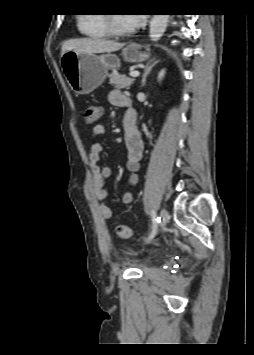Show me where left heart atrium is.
<instances>
[{
	"mask_svg": "<svg viewBox=\"0 0 254 355\" xmlns=\"http://www.w3.org/2000/svg\"><path fill=\"white\" fill-rule=\"evenodd\" d=\"M125 16L128 18L132 27H139L143 25L147 18V14L145 13H130Z\"/></svg>",
	"mask_w": 254,
	"mask_h": 355,
	"instance_id": "left-heart-atrium-1",
	"label": "left heart atrium"
}]
</instances>
